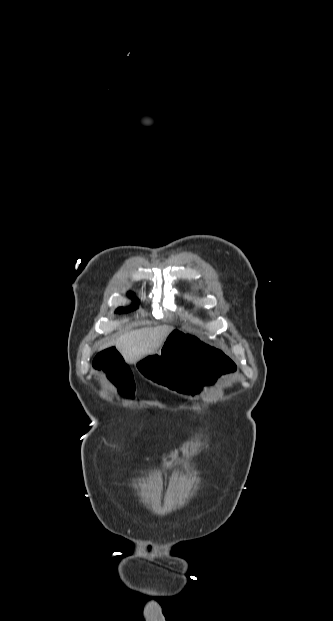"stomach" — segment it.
<instances>
[{
    "label": "stomach",
    "mask_w": 333,
    "mask_h": 621,
    "mask_svg": "<svg viewBox=\"0 0 333 621\" xmlns=\"http://www.w3.org/2000/svg\"><path fill=\"white\" fill-rule=\"evenodd\" d=\"M227 360L215 340L178 329L170 332L160 350H148L135 368L158 389L188 397L192 387L193 396L202 399L223 380L224 372H232Z\"/></svg>",
    "instance_id": "1"
}]
</instances>
